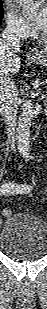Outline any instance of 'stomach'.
<instances>
[{"label": "stomach", "mask_w": 47, "mask_h": 309, "mask_svg": "<svg viewBox=\"0 0 47 309\" xmlns=\"http://www.w3.org/2000/svg\"><path fill=\"white\" fill-rule=\"evenodd\" d=\"M30 60L36 64L47 66V48L37 51L30 57Z\"/></svg>", "instance_id": "stomach-1"}]
</instances>
